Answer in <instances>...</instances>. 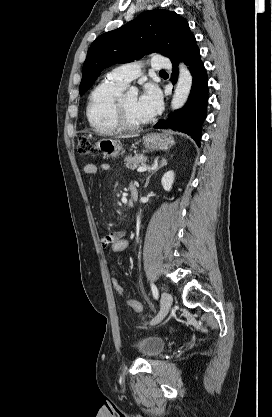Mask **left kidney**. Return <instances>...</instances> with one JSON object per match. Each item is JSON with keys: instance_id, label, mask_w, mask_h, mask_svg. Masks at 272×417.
<instances>
[{"instance_id": "5707ae66", "label": "left kidney", "mask_w": 272, "mask_h": 417, "mask_svg": "<svg viewBox=\"0 0 272 417\" xmlns=\"http://www.w3.org/2000/svg\"><path fill=\"white\" fill-rule=\"evenodd\" d=\"M161 183L165 191H170L174 183V172H166L162 177Z\"/></svg>"}]
</instances>
